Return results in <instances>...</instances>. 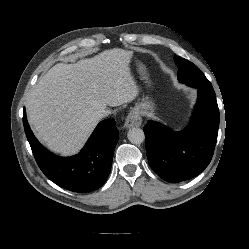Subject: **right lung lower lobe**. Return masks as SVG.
<instances>
[{"label": "right lung lower lobe", "mask_w": 249, "mask_h": 249, "mask_svg": "<svg viewBox=\"0 0 249 249\" xmlns=\"http://www.w3.org/2000/svg\"><path fill=\"white\" fill-rule=\"evenodd\" d=\"M23 124L39 168L55 184L74 192H90L105 183L118 141L113 119L101 121L81 152L71 157L56 156L38 142L29 127L25 109Z\"/></svg>", "instance_id": "obj_1"}]
</instances>
